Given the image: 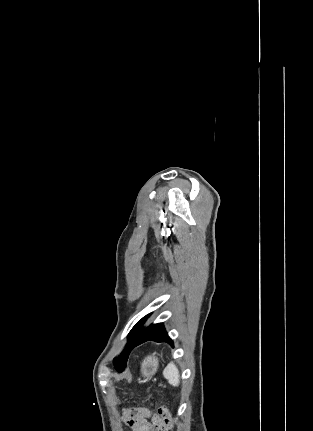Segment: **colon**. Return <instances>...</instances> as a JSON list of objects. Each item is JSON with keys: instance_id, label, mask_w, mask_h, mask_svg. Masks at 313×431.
I'll use <instances>...</instances> for the list:
<instances>
[{"instance_id": "colon-1", "label": "colon", "mask_w": 313, "mask_h": 431, "mask_svg": "<svg viewBox=\"0 0 313 431\" xmlns=\"http://www.w3.org/2000/svg\"><path fill=\"white\" fill-rule=\"evenodd\" d=\"M157 412L159 421L156 425V431H170L173 426L170 410L165 405H159Z\"/></svg>"}]
</instances>
